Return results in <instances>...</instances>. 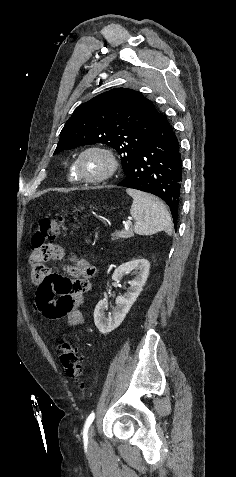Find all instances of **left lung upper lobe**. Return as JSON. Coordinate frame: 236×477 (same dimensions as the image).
<instances>
[{
	"label": "left lung upper lobe",
	"instance_id": "left-lung-upper-lobe-1",
	"mask_svg": "<svg viewBox=\"0 0 236 477\" xmlns=\"http://www.w3.org/2000/svg\"><path fill=\"white\" fill-rule=\"evenodd\" d=\"M161 119L162 114L140 92L112 89L75 109L60 133L54 154L103 143L118 152L125 174L133 156L148 141Z\"/></svg>",
	"mask_w": 236,
	"mask_h": 477
}]
</instances>
